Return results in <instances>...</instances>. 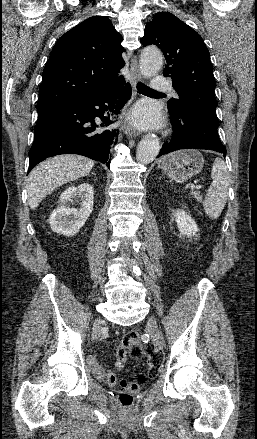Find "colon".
<instances>
[{
	"label": "colon",
	"mask_w": 257,
	"mask_h": 439,
	"mask_svg": "<svg viewBox=\"0 0 257 439\" xmlns=\"http://www.w3.org/2000/svg\"><path fill=\"white\" fill-rule=\"evenodd\" d=\"M128 357L136 359L141 357L146 358L148 362V371L146 374L139 375L136 381L124 382V390L120 392L118 401L120 405L126 408L133 404V393L139 389V386L145 382L147 377H154L161 365V357L155 350L154 346L148 343L141 344L139 334L134 330L125 333L118 344L116 350V365L118 367L123 366ZM89 362L94 373L106 384L112 385L115 383V375L110 371L102 370L98 366L96 358L92 357Z\"/></svg>",
	"instance_id": "5ec220e1"
}]
</instances>
